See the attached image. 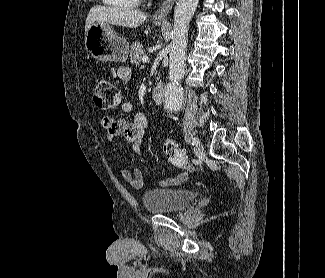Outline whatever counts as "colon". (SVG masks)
Returning a JSON list of instances; mask_svg holds the SVG:
<instances>
[{
  "label": "colon",
  "mask_w": 325,
  "mask_h": 278,
  "mask_svg": "<svg viewBox=\"0 0 325 278\" xmlns=\"http://www.w3.org/2000/svg\"><path fill=\"white\" fill-rule=\"evenodd\" d=\"M93 100L100 109L110 110L120 104L121 94L109 79L99 78L94 86ZM163 149L168 161L173 166L188 172L194 171V167L187 162L182 150L174 140L166 139Z\"/></svg>",
  "instance_id": "colon-1"
}]
</instances>
